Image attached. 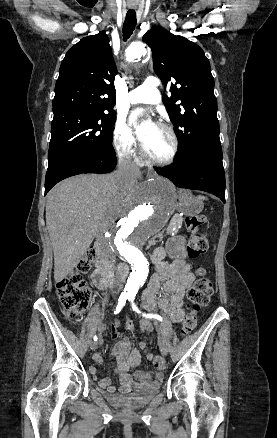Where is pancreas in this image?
I'll return each mask as SVG.
<instances>
[{
  "label": "pancreas",
  "instance_id": "pancreas-1",
  "mask_svg": "<svg viewBox=\"0 0 277 438\" xmlns=\"http://www.w3.org/2000/svg\"><path fill=\"white\" fill-rule=\"evenodd\" d=\"M183 216L181 214H174L171 220V224L167 225L168 233H179L180 227L183 226Z\"/></svg>",
  "mask_w": 277,
  "mask_h": 438
}]
</instances>
